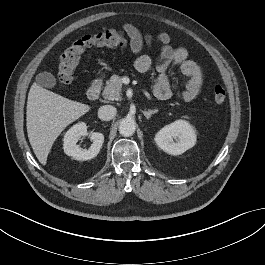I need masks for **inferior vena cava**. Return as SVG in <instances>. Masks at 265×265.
<instances>
[{
	"instance_id": "obj_1",
	"label": "inferior vena cava",
	"mask_w": 265,
	"mask_h": 265,
	"mask_svg": "<svg viewBox=\"0 0 265 265\" xmlns=\"http://www.w3.org/2000/svg\"><path fill=\"white\" fill-rule=\"evenodd\" d=\"M117 110L114 106L104 105L98 110V117L103 121H110L116 116Z\"/></svg>"
}]
</instances>
